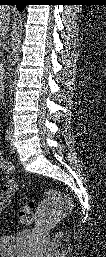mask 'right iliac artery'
Segmentation results:
<instances>
[{
    "label": "right iliac artery",
    "instance_id": "right-iliac-artery-1",
    "mask_svg": "<svg viewBox=\"0 0 106 257\" xmlns=\"http://www.w3.org/2000/svg\"><path fill=\"white\" fill-rule=\"evenodd\" d=\"M5 140L9 142L11 140V134L9 130H6L5 132Z\"/></svg>",
    "mask_w": 106,
    "mask_h": 257
}]
</instances>
